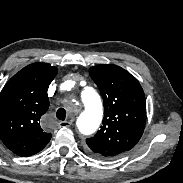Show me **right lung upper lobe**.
<instances>
[{"label":"right lung upper lobe","instance_id":"cb5924a9","mask_svg":"<svg viewBox=\"0 0 183 183\" xmlns=\"http://www.w3.org/2000/svg\"><path fill=\"white\" fill-rule=\"evenodd\" d=\"M58 69L48 63H33L15 74L0 93V138L19 156L41 151L51 134L40 126L49 108L47 90Z\"/></svg>","mask_w":183,"mask_h":183}]
</instances>
